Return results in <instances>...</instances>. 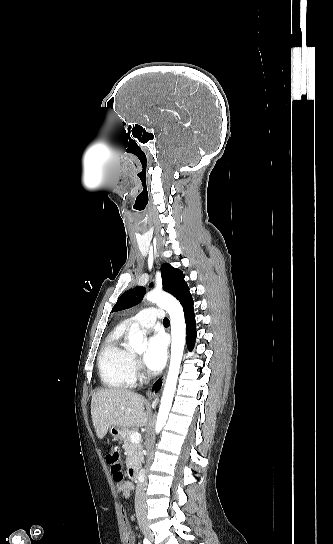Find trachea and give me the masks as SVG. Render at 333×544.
Returning a JSON list of instances; mask_svg holds the SVG:
<instances>
[{
  "mask_svg": "<svg viewBox=\"0 0 333 544\" xmlns=\"http://www.w3.org/2000/svg\"><path fill=\"white\" fill-rule=\"evenodd\" d=\"M163 324H165V325H168V324H170V321H169V319H168V318H164V320H163Z\"/></svg>",
  "mask_w": 333,
  "mask_h": 544,
  "instance_id": "trachea-1",
  "label": "trachea"
}]
</instances>
